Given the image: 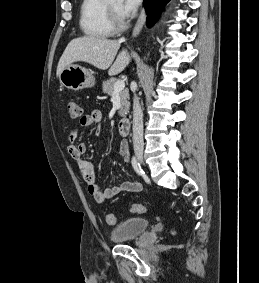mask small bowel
Here are the masks:
<instances>
[{
    "label": "small bowel",
    "mask_w": 259,
    "mask_h": 283,
    "mask_svg": "<svg viewBox=\"0 0 259 283\" xmlns=\"http://www.w3.org/2000/svg\"><path fill=\"white\" fill-rule=\"evenodd\" d=\"M102 120V112L98 109L91 111L89 114L84 115L80 119V126L90 127L99 126ZM100 130H96V135L99 136ZM77 136V129H74L69 134V140L73 141ZM86 144L70 143L67 147L69 156L76 161L78 166L79 174L87 186L88 193L96 200L98 203H103L116 195L124 191L129 192H140L142 191V185L139 182L133 181H122L121 183L106 188L102 190L95 181V174L93 170V165L90 160L82 159V155L86 152ZM118 153L120 157L125 161H130V153L128 148V143L126 140H121L119 143Z\"/></svg>",
    "instance_id": "c3829d8e"
}]
</instances>
